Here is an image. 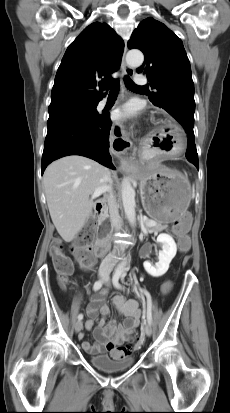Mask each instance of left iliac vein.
Wrapping results in <instances>:
<instances>
[{
    "label": "left iliac vein",
    "instance_id": "1",
    "mask_svg": "<svg viewBox=\"0 0 230 413\" xmlns=\"http://www.w3.org/2000/svg\"><path fill=\"white\" fill-rule=\"evenodd\" d=\"M143 330L147 336H151L152 334V327L149 323H144Z\"/></svg>",
    "mask_w": 230,
    "mask_h": 413
}]
</instances>
